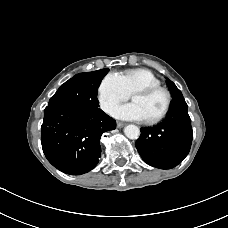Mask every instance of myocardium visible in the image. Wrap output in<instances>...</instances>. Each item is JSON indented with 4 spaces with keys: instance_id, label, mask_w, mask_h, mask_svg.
Instances as JSON below:
<instances>
[{
    "instance_id": "1",
    "label": "myocardium",
    "mask_w": 228,
    "mask_h": 228,
    "mask_svg": "<svg viewBox=\"0 0 228 228\" xmlns=\"http://www.w3.org/2000/svg\"><path fill=\"white\" fill-rule=\"evenodd\" d=\"M158 92L162 93L165 96V105L163 110L156 117L145 119V123L149 125L159 123L167 116L172 104V95L170 91L162 86H151L139 88L131 94V97L135 95L148 96Z\"/></svg>"
}]
</instances>
